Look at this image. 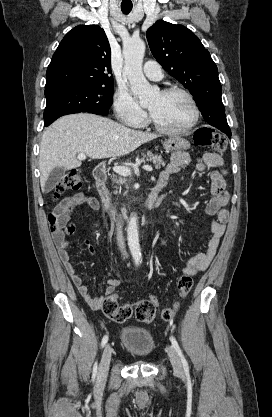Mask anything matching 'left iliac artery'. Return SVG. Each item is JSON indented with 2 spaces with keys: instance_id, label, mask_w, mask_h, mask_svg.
<instances>
[{
  "instance_id": "left-iliac-artery-1",
  "label": "left iliac artery",
  "mask_w": 272,
  "mask_h": 417,
  "mask_svg": "<svg viewBox=\"0 0 272 417\" xmlns=\"http://www.w3.org/2000/svg\"><path fill=\"white\" fill-rule=\"evenodd\" d=\"M170 340H171L172 346L174 347V349L176 350V352L178 353V355L181 358V362L183 364L184 370H188L189 369L188 363H187V361H186V359H185V357L182 353V350L180 349L175 337L171 336Z\"/></svg>"
}]
</instances>
